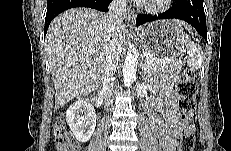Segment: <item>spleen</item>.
Returning <instances> with one entry per match:
<instances>
[{"label": "spleen", "mask_w": 231, "mask_h": 151, "mask_svg": "<svg viewBox=\"0 0 231 151\" xmlns=\"http://www.w3.org/2000/svg\"><path fill=\"white\" fill-rule=\"evenodd\" d=\"M185 51L187 52V64L192 70H197L203 63V51L199 44L191 41L189 38L184 39Z\"/></svg>", "instance_id": "spleen-1"}]
</instances>
